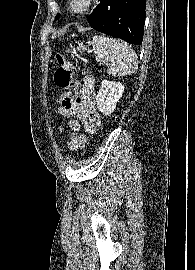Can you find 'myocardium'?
Returning <instances> with one entry per match:
<instances>
[{"mask_svg": "<svg viewBox=\"0 0 195 270\" xmlns=\"http://www.w3.org/2000/svg\"><path fill=\"white\" fill-rule=\"evenodd\" d=\"M75 0H68V6L70 11L75 15H84L88 13L96 4V0H86L85 5L81 9H76Z\"/></svg>", "mask_w": 195, "mask_h": 270, "instance_id": "obj_1", "label": "myocardium"}]
</instances>
